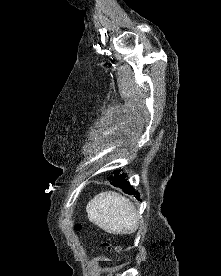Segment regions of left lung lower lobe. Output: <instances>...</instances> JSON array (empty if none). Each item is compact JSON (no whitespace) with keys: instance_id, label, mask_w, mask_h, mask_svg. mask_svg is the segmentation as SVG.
<instances>
[{"instance_id":"0a47b994","label":"left lung lower lobe","mask_w":221,"mask_h":276,"mask_svg":"<svg viewBox=\"0 0 221 276\" xmlns=\"http://www.w3.org/2000/svg\"><path fill=\"white\" fill-rule=\"evenodd\" d=\"M119 170L114 171V175L107 178L110 183L115 186L121 188L125 193L129 195H135L137 200H140L139 193L133 189V187L129 184V182L126 179V175L119 174Z\"/></svg>"}]
</instances>
